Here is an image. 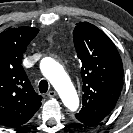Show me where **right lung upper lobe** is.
I'll return each mask as SVG.
<instances>
[{"label":"right lung upper lobe","instance_id":"obj_1","mask_svg":"<svg viewBox=\"0 0 133 133\" xmlns=\"http://www.w3.org/2000/svg\"><path fill=\"white\" fill-rule=\"evenodd\" d=\"M39 29L11 28L0 33V123L18 127L29 121L41 106L22 67L23 53Z\"/></svg>","mask_w":133,"mask_h":133}]
</instances>
